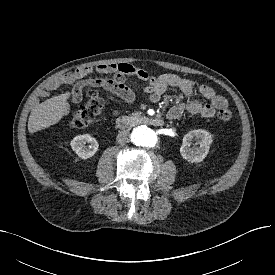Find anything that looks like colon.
<instances>
[{"instance_id": "1", "label": "colon", "mask_w": 275, "mask_h": 275, "mask_svg": "<svg viewBox=\"0 0 275 275\" xmlns=\"http://www.w3.org/2000/svg\"><path fill=\"white\" fill-rule=\"evenodd\" d=\"M94 84L85 86L87 93L86 102L72 115L69 125L71 128L79 129L92 124L101 114L104 108V99L94 88ZM218 117L223 122H230L233 117V111L230 107L221 108Z\"/></svg>"}]
</instances>
